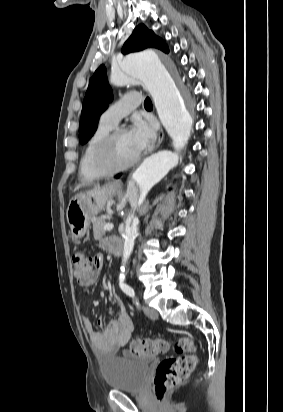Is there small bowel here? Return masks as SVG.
Here are the masks:
<instances>
[{
    "label": "small bowel",
    "mask_w": 283,
    "mask_h": 412,
    "mask_svg": "<svg viewBox=\"0 0 283 412\" xmlns=\"http://www.w3.org/2000/svg\"><path fill=\"white\" fill-rule=\"evenodd\" d=\"M114 239L115 238L105 239L102 242V247L104 249H110ZM96 256L100 258V263L91 270L85 281L80 282L85 287L92 286L97 282L99 270L102 267V257L100 255ZM113 298L118 305V316L111 320L102 332L94 331L91 321L86 316H81V325L88 334L93 349L99 357L114 356L120 352L126 357H132V353L127 351L126 347L134 328L133 323L119 298L116 295H114ZM97 324L103 327L104 320L99 318Z\"/></svg>",
    "instance_id": "c3829d8e"
}]
</instances>
